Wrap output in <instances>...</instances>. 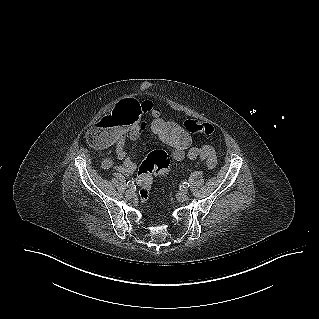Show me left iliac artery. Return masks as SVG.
<instances>
[{
  "mask_svg": "<svg viewBox=\"0 0 319 319\" xmlns=\"http://www.w3.org/2000/svg\"><path fill=\"white\" fill-rule=\"evenodd\" d=\"M189 186H190L189 183L183 182V183L180 185V189H181V190L187 189Z\"/></svg>",
  "mask_w": 319,
  "mask_h": 319,
  "instance_id": "left-iliac-artery-1",
  "label": "left iliac artery"
}]
</instances>
